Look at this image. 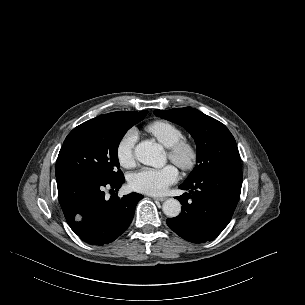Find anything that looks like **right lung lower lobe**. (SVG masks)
<instances>
[{"label":"right lung lower lobe","mask_w":305,"mask_h":305,"mask_svg":"<svg viewBox=\"0 0 305 305\" xmlns=\"http://www.w3.org/2000/svg\"><path fill=\"white\" fill-rule=\"evenodd\" d=\"M58 199L70 228L83 241L103 245L114 241L130 225L135 207L143 195L131 193L109 199L104 187L118 190L124 176L110 182L93 181L86 177L64 175L56 177Z\"/></svg>","instance_id":"obj_1"}]
</instances>
